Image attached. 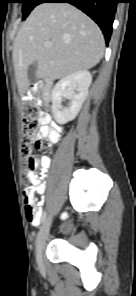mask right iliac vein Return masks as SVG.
Returning a JSON list of instances; mask_svg holds the SVG:
<instances>
[{
	"mask_svg": "<svg viewBox=\"0 0 136 296\" xmlns=\"http://www.w3.org/2000/svg\"><path fill=\"white\" fill-rule=\"evenodd\" d=\"M50 225L51 217H48L47 221L42 225L36 240V260L40 267L43 266V249L49 234Z\"/></svg>",
	"mask_w": 136,
	"mask_h": 296,
	"instance_id": "obj_1",
	"label": "right iliac vein"
}]
</instances>
